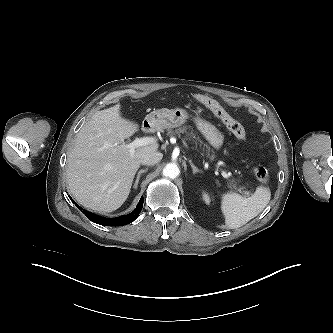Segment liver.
I'll use <instances>...</instances> for the list:
<instances>
[{"instance_id":"6515ba94","label":"liver","mask_w":333,"mask_h":333,"mask_svg":"<svg viewBox=\"0 0 333 333\" xmlns=\"http://www.w3.org/2000/svg\"><path fill=\"white\" fill-rule=\"evenodd\" d=\"M120 105L96 111L76 136L68 155V188L82 206L112 212L129 196L141 158L159 145L141 146L132 154L125 139L139 131V124L122 117Z\"/></svg>"}]
</instances>
